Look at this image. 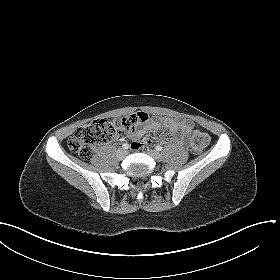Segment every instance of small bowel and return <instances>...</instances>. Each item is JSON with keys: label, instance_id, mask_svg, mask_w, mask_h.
<instances>
[{"label": "small bowel", "instance_id": "1", "mask_svg": "<svg viewBox=\"0 0 280 280\" xmlns=\"http://www.w3.org/2000/svg\"><path fill=\"white\" fill-rule=\"evenodd\" d=\"M194 124L191 120L177 117H166L163 119H152L143 128L133 129L129 133L135 138L143 137L148 130L166 129L172 134H179L180 141L183 142L187 135L193 130ZM148 144L151 142L148 141Z\"/></svg>", "mask_w": 280, "mask_h": 280}]
</instances>
